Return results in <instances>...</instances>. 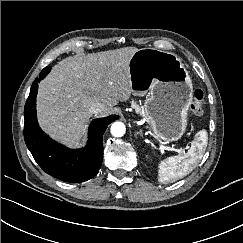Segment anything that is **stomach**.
Masks as SVG:
<instances>
[{
    "mask_svg": "<svg viewBox=\"0 0 243 243\" xmlns=\"http://www.w3.org/2000/svg\"><path fill=\"white\" fill-rule=\"evenodd\" d=\"M132 92L147 94L144 113L155 136L180 139L193 98L192 81L177 55L156 48L136 51L129 62Z\"/></svg>",
    "mask_w": 243,
    "mask_h": 243,
    "instance_id": "stomach-1",
    "label": "stomach"
}]
</instances>
